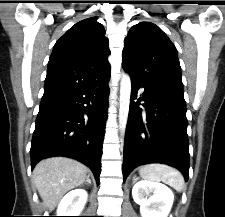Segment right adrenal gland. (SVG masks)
Instances as JSON below:
<instances>
[{
	"label": "right adrenal gland",
	"instance_id": "2a0ac1e0",
	"mask_svg": "<svg viewBox=\"0 0 225 217\" xmlns=\"http://www.w3.org/2000/svg\"><path fill=\"white\" fill-rule=\"evenodd\" d=\"M85 183L91 184V180H90V178H89V175L86 177Z\"/></svg>",
	"mask_w": 225,
	"mask_h": 217
}]
</instances>
